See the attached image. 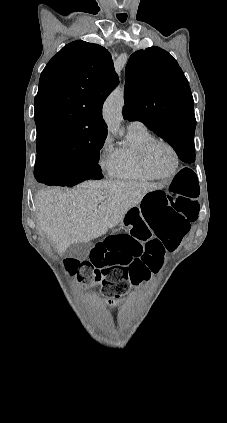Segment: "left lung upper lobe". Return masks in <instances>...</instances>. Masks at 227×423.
I'll use <instances>...</instances> for the list:
<instances>
[{
    "mask_svg": "<svg viewBox=\"0 0 227 423\" xmlns=\"http://www.w3.org/2000/svg\"><path fill=\"white\" fill-rule=\"evenodd\" d=\"M125 112L172 145L194 140L196 119L189 83L177 61L150 47L133 53L126 66Z\"/></svg>",
    "mask_w": 227,
    "mask_h": 423,
    "instance_id": "left-lung-upper-lobe-1",
    "label": "left lung upper lobe"
}]
</instances>
